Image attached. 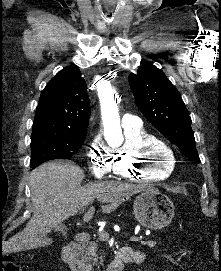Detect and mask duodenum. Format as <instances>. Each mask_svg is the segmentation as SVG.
I'll use <instances>...</instances> for the list:
<instances>
[{
	"instance_id": "410a0bca",
	"label": "duodenum",
	"mask_w": 221,
	"mask_h": 271,
	"mask_svg": "<svg viewBox=\"0 0 221 271\" xmlns=\"http://www.w3.org/2000/svg\"><path fill=\"white\" fill-rule=\"evenodd\" d=\"M89 239L87 232L77 233L74 238L62 249V259L66 262L71 271H89L85 264L78 258L80 247ZM145 256L133 252L129 248L119 249L112 261L106 268V271H123L124 264H140L144 261Z\"/></svg>"
}]
</instances>
